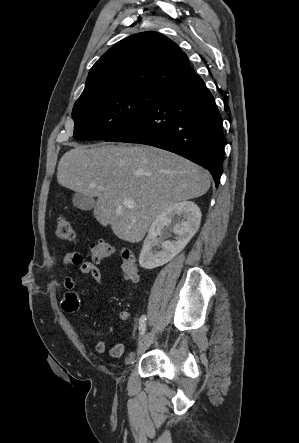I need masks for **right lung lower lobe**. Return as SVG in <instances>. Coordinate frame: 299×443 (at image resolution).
<instances>
[{
    "mask_svg": "<svg viewBox=\"0 0 299 443\" xmlns=\"http://www.w3.org/2000/svg\"><path fill=\"white\" fill-rule=\"evenodd\" d=\"M105 141L146 144L174 152L206 167L216 187L220 182L222 117L197 74L163 90L148 111Z\"/></svg>",
    "mask_w": 299,
    "mask_h": 443,
    "instance_id": "1",
    "label": "right lung lower lobe"
}]
</instances>
